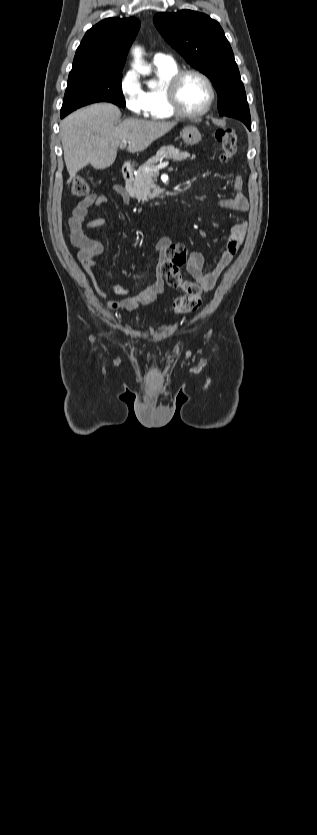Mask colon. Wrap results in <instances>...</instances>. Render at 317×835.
Masks as SVG:
<instances>
[{
    "label": "colon",
    "instance_id": "1",
    "mask_svg": "<svg viewBox=\"0 0 317 835\" xmlns=\"http://www.w3.org/2000/svg\"><path fill=\"white\" fill-rule=\"evenodd\" d=\"M215 138L222 147V158L225 161H230L236 151V134L232 128H222L215 132ZM90 186L83 178H76L71 186V196L80 198L89 194ZM182 263L180 260H167L158 265V272H160L169 287L173 289H180L183 295L176 298L173 303L175 313H189L197 310L201 305L202 289L196 283L187 281L183 278L181 272ZM150 293H146V297H150Z\"/></svg>",
    "mask_w": 317,
    "mask_h": 835
}]
</instances>
